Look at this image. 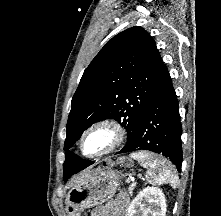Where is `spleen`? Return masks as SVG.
Masks as SVG:
<instances>
[{
    "label": "spleen",
    "instance_id": "spleen-1",
    "mask_svg": "<svg viewBox=\"0 0 221 216\" xmlns=\"http://www.w3.org/2000/svg\"><path fill=\"white\" fill-rule=\"evenodd\" d=\"M131 157L140 162L146 171V179L152 185L169 183L177 187L178 177L173 167L165 159L146 151L132 153Z\"/></svg>",
    "mask_w": 221,
    "mask_h": 216
}]
</instances>
